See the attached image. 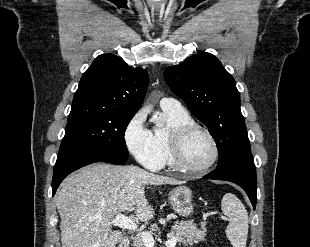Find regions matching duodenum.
<instances>
[{
    "label": "duodenum",
    "instance_id": "410a0bca",
    "mask_svg": "<svg viewBox=\"0 0 310 247\" xmlns=\"http://www.w3.org/2000/svg\"><path fill=\"white\" fill-rule=\"evenodd\" d=\"M118 247H129V240L126 237H123L122 239H120L119 243H118Z\"/></svg>",
    "mask_w": 310,
    "mask_h": 247
}]
</instances>
